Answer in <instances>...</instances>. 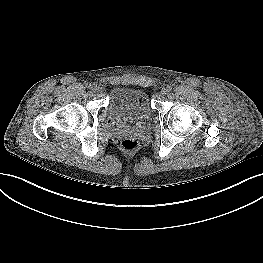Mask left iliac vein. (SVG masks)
<instances>
[{"mask_svg":"<svg viewBox=\"0 0 263 263\" xmlns=\"http://www.w3.org/2000/svg\"><path fill=\"white\" fill-rule=\"evenodd\" d=\"M168 93V90H167V88H163L162 90H161V95H166Z\"/></svg>","mask_w":263,"mask_h":263,"instance_id":"left-iliac-vein-1","label":"left iliac vein"}]
</instances>
